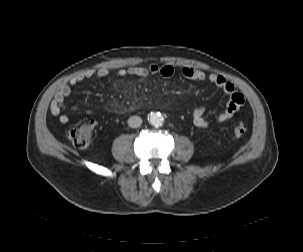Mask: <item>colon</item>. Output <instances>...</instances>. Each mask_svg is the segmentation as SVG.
Returning a JSON list of instances; mask_svg holds the SVG:
<instances>
[{"instance_id":"obj_1","label":"colon","mask_w":303,"mask_h":252,"mask_svg":"<svg viewBox=\"0 0 303 252\" xmlns=\"http://www.w3.org/2000/svg\"><path fill=\"white\" fill-rule=\"evenodd\" d=\"M248 127L240 123L233 128V135L240 137L246 134ZM94 123L89 122L79 127H73L68 132L69 140L78 148H87L93 140Z\"/></svg>"}]
</instances>
